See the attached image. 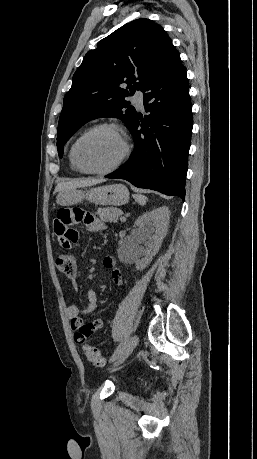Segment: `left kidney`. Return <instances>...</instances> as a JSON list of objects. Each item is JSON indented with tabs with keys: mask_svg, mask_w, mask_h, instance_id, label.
Returning a JSON list of instances; mask_svg holds the SVG:
<instances>
[{
	"mask_svg": "<svg viewBox=\"0 0 257 459\" xmlns=\"http://www.w3.org/2000/svg\"><path fill=\"white\" fill-rule=\"evenodd\" d=\"M170 219L168 207L162 206L146 212L135 221L133 232L132 256L137 269H143L150 264L153 256L159 251L167 234ZM145 242L147 247L139 246Z\"/></svg>",
	"mask_w": 257,
	"mask_h": 459,
	"instance_id": "obj_1",
	"label": "left kidney"
}]
</instances>
